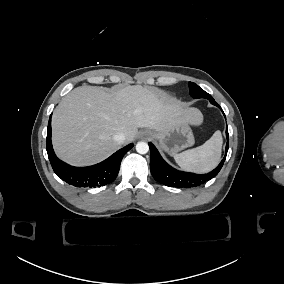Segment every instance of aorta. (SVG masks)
Instances as JSON below:
<instances>
[{
  "instance_id": "aorta-1",
  "label": "aorta",
  "mask_w": 284,
  "mask_h": 284,
  "mask_svg": "<svg viewBox=\"0 0 284 284\" xmlns=\"http://www.w3.org/2000/svg\"><path fill=\"white\" fill-rule=\"evenodd\" d=\"M136 151L139 153V154H146L148 151H149V146L146 142H138L136 144Z\"/></svg>"
}]
</instances>
